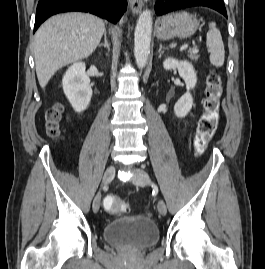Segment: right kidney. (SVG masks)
<instances>
[{
  "label": "right kidney",
  "instance_id": "obj_1",
  "mask_svg": "<svg viewBox=\"0 0 265 269\" xmlns=\"http://www.w3.org/2000/svg\"><path fill=\"white\" fill-rule=\"evenodd\" d=\"M85 68L84 62L74 63L68 68L62 80L64 94L77 113L87 108L92 97L90 79Z\"/></svg>",
  "mask_w": 265,
  "mask_h": 269
}]
</instances>
